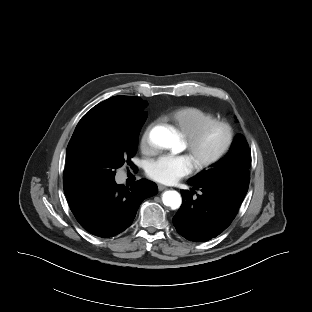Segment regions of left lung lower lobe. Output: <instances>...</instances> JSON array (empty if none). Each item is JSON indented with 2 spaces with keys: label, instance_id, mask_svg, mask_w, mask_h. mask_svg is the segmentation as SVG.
Returning a JSON list of instances; mask_svg holds the SVG:
<instances>
[{
  "label": "left lung lower lobe",
  "instance_id": "0a47b994",
  "mask_svg": "<svg viewBox=\"0 0 312 312\" xmlns=\"http://www.w3.org/2000/svg\"><path fill=\"white\" fill-rule=\"evenodd\" d=\"M202 194L193 198L194 190H182L183 203L173 217L177 232L194 242L208 241L222 233L233 221L242 201L228 189L212 184L188 181Z\"/></svg>",
  "mask_w": 312,
  "mask_h": 312
}]
</instances>
